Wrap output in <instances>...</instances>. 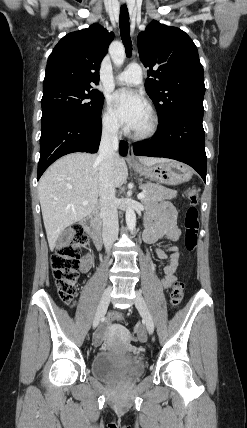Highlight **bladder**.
<instances>
[{
    "instance_id": "obj_1",
    "label": "bladder",
    "mask_w": 247,
    "mask_h": 428,
    "mask_svg": "<svg viewBox=\"0 0 247 428\" xmlns=\"http://www.w3.org/2000/svg\"><path fill=\"white\" fill-rule=\"evenodd\" d=\"M91 367L92 373L101 379H110L118 373L137 378L145 368L143 359L130 350L100 351L94 356Z\"/></svg>"
}]
</instances>
